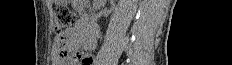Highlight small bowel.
Instances as JSON below:
<instances>
[{
	"mask_svg": "<svg viewBox=\"0 0 232 65\" xmlns=\"http://www.w3.org/2000/svg\"><path fill=\"white\" fill-rule=\"evenodd\" d=\"M64 37L65 47L69 51L77 50L79 47L87 51H92L96 47V38L89 36L81 21L70 28L66 34H64Z\"/></svg>",
	"mask_w": 232,
	"mask_h": 65,
	"instance_id": "1",
	"label": "small bowel"
}]
</instances>
